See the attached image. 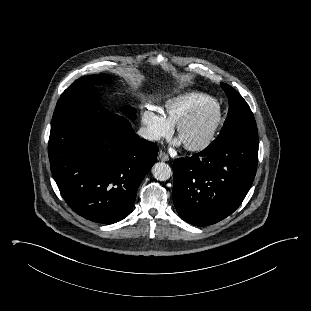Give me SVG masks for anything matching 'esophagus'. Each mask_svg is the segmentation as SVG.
Here are the masks:
<instances>
[{
    "label": "esophagus",
    "mask_w": 311,
    "mask_h": 311,
    "mask_svg": "<svg viewBox=\"0 0 311 311\" xmlns=\"http://www.w3.org/2000/svg\"><path fill=\"white\" fill-rule=\"evenodd\" d=\"M158 159H159L160 161H168V160H169V156H168L165 152L159 151V153H158Z\"/></svg>",
    "instance_id": "obj_1"
}]
</instances>
